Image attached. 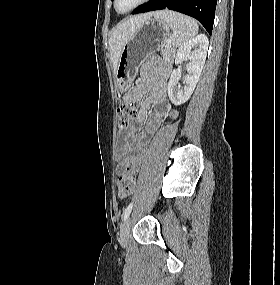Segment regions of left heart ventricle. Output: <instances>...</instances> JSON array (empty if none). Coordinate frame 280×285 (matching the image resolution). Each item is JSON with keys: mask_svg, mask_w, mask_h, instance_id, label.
Returning a JSON list of instances; mask_svg holds the SVG:
<instances>
[{"mask_svg": "<svg viewBox=\"0 0 280 285\" xmlns=\"http://www.w3.org/2000/svg\"><path fill=\"white\" fill-rule=\"evenodd\" d=\"M138 0H118V9L125 11L132 7Z\"/></svg>", "mask_w": 280, "mask_h": 285, "instance_id": "1", "label": "left heart ventricle"}]
</instances>
